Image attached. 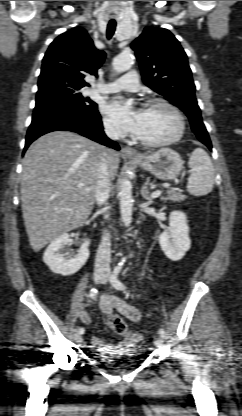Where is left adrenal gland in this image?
I'll return each instance as SVG.
<instances>
[{
	"mask_svg": "<svg viewBox=\"0 0 242 416\" xmlns=\"http://www.w3.org/2000/svg\"><path fill=\"white\" fill-rule=\"evenodd\" d=\"M149 183H150V178H147L146 179V182L144 183V185L142 186V188H141V195H142V197L145 199V200H147L148 201V203L149 202H151V197H150V195H149V189H148V185H149Z\"/></svg>",
	"mask_w": 242,
	"mask_h": 416,
	"instance_id": "a2214340",
	"label": "left adrenal gland"
}]
</instances>
